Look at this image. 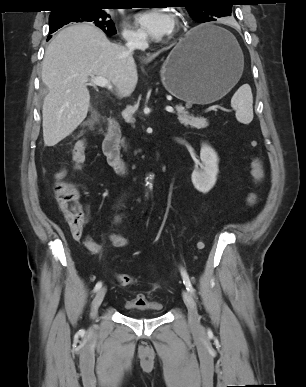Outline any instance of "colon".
Wrapping results in <instances>:
<instances>
[{
  "instance_id": "colon-1",
  "label": "colon",
  "mask_w": 306,
  "mask_h": 387,
  "mask_svg": "<svg viewBox=\"0 0 306 387\" xmlns=\"http://www.w3.org/2000/svg\"><path fill=\"white\" fill-rule=\"evenodd\" d=\"M87 143L85 140H79L72 150V161L75 168H79L86 157ZM251 174L255 184L261 183L264 178V169L259 158H255L251 165ZM55 198L68 223L71 234L74 237H80L83 234L86 217L83 206L79 201V192L75 185L69 181H59L55 185ZM256 194L252 193L248 202L249 205L256 203ZM198 248H203L204 243L198 242ZM118 284L122 287H129L137 282V279L128 274H118L116 276Z\"/></svg>"
}]
</instances>
